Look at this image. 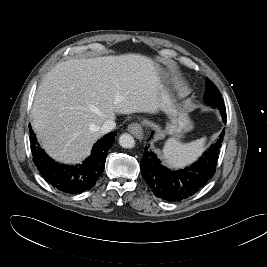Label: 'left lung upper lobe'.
Returning a JSON list of instances; mask_svg holds the SVG:
<instances>
[{
  "label": "left lung upper lobe",
  "mask_w": 267,
  "mask_h": 267,
  "mask_svg": "<svg viewBox=\"0 0 267 267\" xmlns=\"http://www.w3.org/2000/svg\"><path fill=\"white\" fill-rule=\"evenodd\" d=\"M204 99L206 103L214 107L224 106L223 99L218 88L208 78L206 79V92L204 94Z\"/></svg>",
  "instance_id": "1"
}]
</instances>
